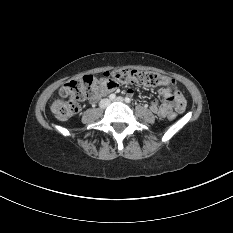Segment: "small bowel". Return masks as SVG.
<instances>
[{"label": "small bowel", "instance_id": "small-bowel-1", "mask_svg": "<svg viewBox=\"0 0 233 233\" xmlns=\"http://www.w3.org/2000/svg\"><path fill=\"white\" fill-rule=\"evenodd\" d=\"M118 84L112 80L102 79L100 90L91 97L94 101L99 98L102 94L113 92L117 89ZM160 93L164 96V102L159 103L153 101L150 105L151 111L159 117H170L174 115V111L182 113L185 110L186 102L183 95L173 86H165L160 89ZM128 94H132L129 90Z\"/></svg>", "mask_w": 233, "mask_h": 233}]
</instances>
